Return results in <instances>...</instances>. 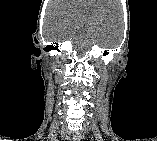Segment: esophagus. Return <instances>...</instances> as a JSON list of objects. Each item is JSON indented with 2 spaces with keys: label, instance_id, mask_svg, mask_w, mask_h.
<instances>
[{
  "label": "esophagus",
  "instance_id": "esophagus-1",
  "mask_svg": "<svg viewBox=\"0 0 157 141\" xmlns=\"http://www.w3.org/2000/svg\"><path fill=\"white\" fill-rule=\"evenodd\" d=\"M74 141H80L81 140V134L77 133L73 136Z\"/></svg>",
  "mask_w": 157,
  "mask_h": 141
}]
</instances>
